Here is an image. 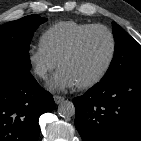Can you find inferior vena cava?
Segmentation results:
<instances>
[{
	"mask_svg": "<svg viewBox=\"0 0 141 141\" xmlns=\"http://www.w3.org/2000/svg\"><path fill=\"white\" fill-rule=\"evenodd\" d=\"M35 72L39 75V76H44L46 73V70L44 68L38 67L36 68Z\"/></svg>",
	"mask_w": 141,
	"mask_h": 141,
	"instance_id": "obj_1",
	"label": "inferior vena cava"
}]
</instances>
